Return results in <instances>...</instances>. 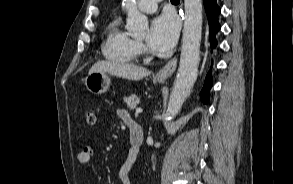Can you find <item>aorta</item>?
<instances>
[{
    "label": "aorta",
    "mask_w": 293,
    "mask_h": 184,
    "mask_svg": "<svg viewBox=\"0 0 293 184\" xmlns=\"http://www.w3.org/2000/svg\"><path fill=\"white\" fill-rule=\"evenodd\" d=\"M127 14V30L131 35H143L148 29V19L141 14L136 0H123ZM185 20L181 56L177 77L170 94L166 117L174 118L190 95L198 75L200 41L202 34V1L184 0Z\"/></svg>",
    "instance_id": "762f6f07"
}]
</instances>
